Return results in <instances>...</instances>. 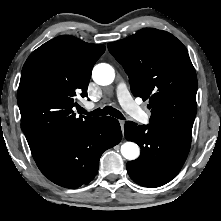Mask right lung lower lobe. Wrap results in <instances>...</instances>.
I'll list each match as a JSON object with an SVG mask.
<instances>
[{
  "mask_svg": "<svg viewBox=\"0 0 221 221\" xmlns=\"http://www.w3.org/2000/svg\"><path fill=\"white\" fill-rule=\"evenodd\" d=\"M122 139L118 120L97 118L65 138L36 160L40 171L52 182L65 188H77L94 179L102 153Z\"/></svg>",
  "mask_w": 221,
  "mask_h": 221,
  "instance_id": "1",
  "label": "right lung lower lobe"
}]
</instances>
